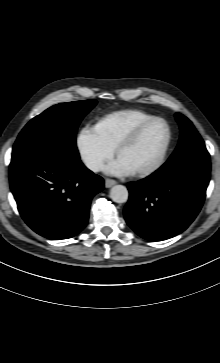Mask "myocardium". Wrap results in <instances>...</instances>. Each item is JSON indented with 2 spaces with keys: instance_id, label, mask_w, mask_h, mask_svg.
Returning a JSON list of instances; mask_svg holds the SVG:
<instances>
[{
  "instance_id": "obj_1",
  "label": "myocardium",
  "mask_w": 220,
  "mask_h": 363,
  "mask_svg": "<svg viewBox=\"0 0 220 363\" xmlns=\"http://www.w3.org/2000/svg\"><path fill=\"white\" fill-rule=\"evenodd\" d=\"M157 122L163 123L167 130V138H166L164 147L155 163H153L149 167L133 171L132 174L134 176L143 177V176L151 175V174L155 173L156 171H158L163 166V164L165 163V160L167 158L168 152L170 150V147L172 144V139H173V133H172L170 124L167 122V120H165L162 117H153V118L148 119V120L140 123L139 125L135 126L124 137H122L115 146L114 153L116 156H118L122 150H124L125 148L130 146L133 142H135L136 139L141 135V133L147 127H149L150 125L157 123Z\"/></svg>"
}]
</instances>
